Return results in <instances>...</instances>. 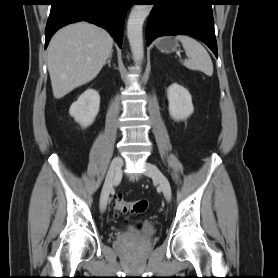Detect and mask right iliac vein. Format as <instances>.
<instances>
[{
	"label": "right iliac vein",
	"instance_id": "obj_1",
	"mask_svg": "<svg viewBox=\"0 0 278 278\" xmlns=\"http://www.w3.org/2000/svg\"><path fill=\"white\" fill-rule=\"evenodd\" d=\"M122 165L123 160L119 156L115 157L111 162L100 196V208L102 211L106 209L113 181L117 172L120 171Z\"/></svg>",
	"mask_w": 278,
	"mask_h": 278
}]
</instances>
